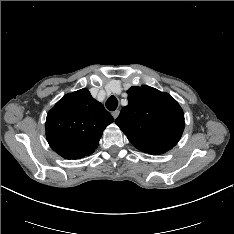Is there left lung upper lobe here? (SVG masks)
Instances as JSON below:
<instances>
[{"label": "left lung upper lobe", "mask_w": 234, "mask_h": 234, "mask_svg": "<svg viewBox=\"0 0 234 234\" xmlns=\"http://www.w3.org/2000/svg\"><path fill=\"white\" fill-rule=\"evenodd\" d=\"M129 104L122 108L115 123L129 141L149 154L172 149L184 130V113L168 93L147 85L131 87Z\"/></svg>", "instance_id": "5c2ea615"}]
</instances>
